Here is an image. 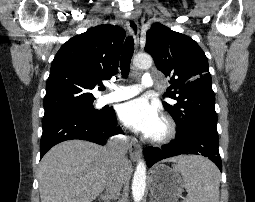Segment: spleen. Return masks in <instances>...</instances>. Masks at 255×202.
<instances>
[{
  "label": "spleen",
  "instance_id": "spleen-1",
  "mask_svg": "<svg viewBox=\"0 0 255 202\" xmlns=\"http://www.w3.org/2000/svg\"><path fill=\"white\" fill-rule=\"evenodd\" d=\"M181 173L187 196L183 202H219L220 173L201 156H188L173 165Z\"/></svg>",
  "mask_w": 255,
  "mask_h": 202
}]
</instances>
